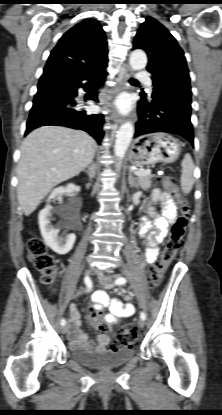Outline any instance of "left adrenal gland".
<instances>
[{
    "label": "left adrenal gland",
    "mask_w": 222,
    "mask_h": 415,
    "mask_svg": "<svg viewBox=\"0 0 222 415\" xmlns=\"http://www.w3.org/2000/svg\"><path fill=\"white\" fill-rule=\"evenodd\" d=\"M128 183L131 188H138L136 177L133 175L131 169H129Z\"/></svg>",
    "instance_id": "obj_1"
}]
</instances>
